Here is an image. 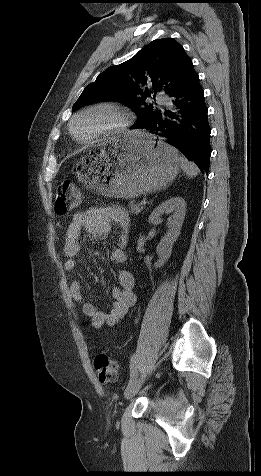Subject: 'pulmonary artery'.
<instances>
[{
  "instance_id": "e3ab8cb5",
  "label": "pulmonary artery",
  "mask_w": 261,
  "mask_h": 476,
  "mask_svg": "<svg viewBox=\"0 0 261 476\" xmlns=\"http://www.w3.org/2000/svg\"><path fill=\"white\" fill-rule=\"evenodd\" d=\"M157 101L159 104H162V105H170L169 99L163 95H158Z\"/></svg>"
}]
</instances>
